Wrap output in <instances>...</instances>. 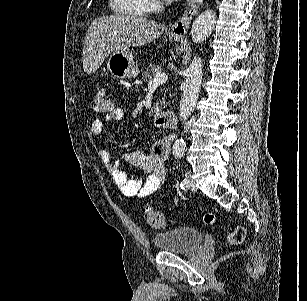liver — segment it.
<instances>
[{"instance_id":"liver-1","label":"liver","mask_w":307,"mask_h":301,"mask_svg":"<svg viewBox=\"0 0 307 301\" xmlns=\"http://www.w3.org/2000/svg\"><path fill=\"white\" fill-rule=\"evenodd\" d=\"M164 30L165 24L142 16L111 14L95 18L84 40L83 68L87 74L96 72L110 52L153 42Z\"/></svg>"}]
</instances>
